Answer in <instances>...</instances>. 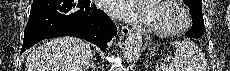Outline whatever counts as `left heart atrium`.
<instances>
[{"label": "left heart atrium", "mask_w": 230, "mask_h": 71, "mask_svg": "<svg viewBox=\"0 0 230 71\" xmlns=\"http://www.w3.org/2000/svg\"><path fill=\"white\" fill-rule=\"evenodd\" d=\"M151 1L103 0V3L104 8L117 18L135 24H144L150 23L153 18Z\"/></svg>", "instance_id": "left-heart-atrium-1"}]
</instances>
